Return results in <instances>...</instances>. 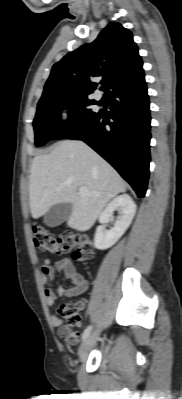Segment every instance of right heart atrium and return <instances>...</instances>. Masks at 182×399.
<instances>
[{
    "instance_id": "right-heart-atrium-1",
    "label": "right heart atrium",
    "mask_w": 182,
    "mask_h": 399,
    "mask_svg": "<svg viewBox=\"0 0 182 399\" xmlns=\"http://www.w3.org/2000/svg\"><path fill=\"white\" fill-rule=\"evenodd\" d=\"M70 118V110L68 108H64L60 112V119L62 122H67Z\"/></svg>"
}]
</instances>
